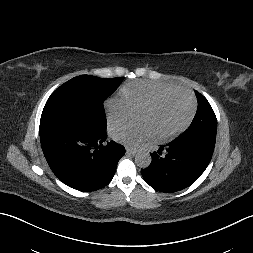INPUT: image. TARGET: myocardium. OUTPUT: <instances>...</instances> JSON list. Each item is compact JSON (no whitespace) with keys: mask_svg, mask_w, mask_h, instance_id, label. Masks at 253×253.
Here are the masks:
<instances>
[{"mask_svg":"<svg viewBox=\"0 0 253 253\" xmlns=\"http://www.w3.org/2000/svg\"><path fill=\"white\" fill-rule=\"evenodd\" d=\"M177 93H181L184 94L185 96H187V98L190 100L191 103V110L190 113L187 117V119L177 128H175L174 130H172L171 132L164 134V135H155V139L159 142H166L169 141L173 138H175L176 136H178L179 134H181L184 130H186L188 128V126L191 124L196 111H197V101L196 98L194 97V95L187 89L184 88H174V89H169V90H165L160 92L159 94H157L151 101H149L146 105H144L141 109L142 110H152L154 109L159 102L172 94H177Z\"/></svg>","mask_w":253,"mask_h":253,"instance_id":"obj_1","label":"myocardium"}]
</instances>
